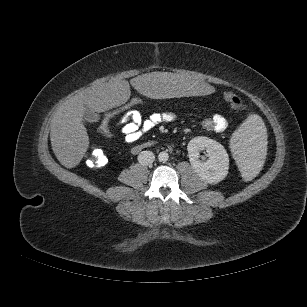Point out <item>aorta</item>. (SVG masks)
<instances>
[{
	"label": "aorta",
	"instance_id": "obj_1",
	"mask_svg": "<svg viewBox=\"0 0 307 307\" xmlns=\"http://www.w3.org/2000/svg\"><path fill=\"white\" fill-rule=\"evenodd\" d=\"M169 159V154L166 151H162L158 154V160L160 162H166Z\"/></svg>",
	"mask_w": 307,
	"mask_h": 307
}]
</instances>
